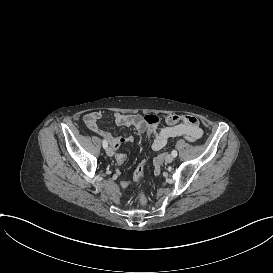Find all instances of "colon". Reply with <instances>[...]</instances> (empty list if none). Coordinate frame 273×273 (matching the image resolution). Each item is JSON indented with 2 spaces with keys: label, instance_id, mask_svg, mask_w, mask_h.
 <instances>
[{
  "label": "colon",
  "instance_id": "obj_1",
  "mask_svg": "<svg viewBox=\"0 0 273 273\" xmlns=\"http://www.w3.org/2000/svg\"><path fill=\"white\" fill-rule=\"evenodd\" d=\"M144 120L149 126H152V127L159 126V124H161L162 121H163L162 118L159 115L152 114V113L145 114L144 115ZM143 164H144V161L140 160L139 165L136 167V169L134 171V178H135L136 183L138 185H141L143 183L144 178H145V171L143 169ZM139 196H140L141 203L145 204L146 203V200H145V197H144L145 193L140 192Z\"/></svg>",
  "mask_w": 273,
  "mask_h": 273
}]
</instances>
